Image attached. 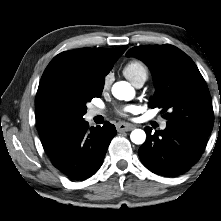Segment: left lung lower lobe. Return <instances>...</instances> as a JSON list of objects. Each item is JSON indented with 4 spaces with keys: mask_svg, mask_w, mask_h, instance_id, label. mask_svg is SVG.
I'll return each instance as SVG.
<instances>
[{
    "mask_svg": "<svg viewBox=\"0 0 221 221\" xmlns=\"http://www.w3.org/2000/svg\"><path fill=\"white\" fill-rule=\"evenodd\" d=\"M139 148L144 166L157 175L177 176L188 171L201 157L207 137L185 126L170 125L151 134Z\"/></svg>",
    "mask_w": 221,
    "mask_h": 221,
    "instance_id": "0a47b994",
    "label": "left lung lower lobe"
}]
</instances>
